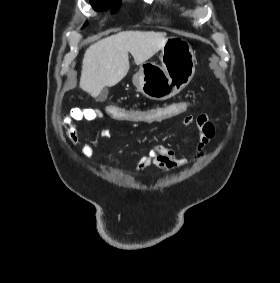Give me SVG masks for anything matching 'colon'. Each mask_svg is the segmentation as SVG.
Returning a JSON list of instances; mask_svg holds the SVG:
<instances>
[{
    "label": "colon",
    "instance_id": "1",
    "mask_svg": "<svg viewBox=\"0 0 280 283\" xmlns=\"http://www.w3.org/2000/svg\"><path fill=\"white\" fill-rule=\"evenodd\" d=\"M188 98L176 99L175 103H166L163 105H155V107H123L119 103H108L105 107V115L109 119H120V122H138L143 125H155V122H167V119H176V116H183V112H187L190 104L187 103ZM79 109L72 110L74 113Z\"/></svg>",
    "mask_w": 280,
    "mask_h": 283
}]
</instances>
